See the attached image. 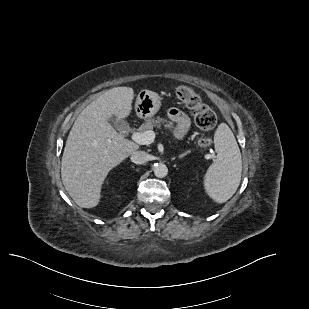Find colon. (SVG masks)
Wrapping results in <instances>:
<instances>
[{
  "instance_id": "colon-1",
  "label": "colon",
  "mask_w": 309,
  "mask_h": 309,
  "mask_svg": "<svg viewBox=\"0 0 309 309\" xmlns=\"http://www.w3.org/2000/svg\"><path fill=\"white\" fill-rule=\"evenodd\" d=\"M177 98L192 111L195 124L202 130H211L217 123L215 112L206 105L201 97L190 87L179 86L176 88ZM198 144L207 147L211 144L209 137H201Z\"/></svg>"
}]
</instances>
